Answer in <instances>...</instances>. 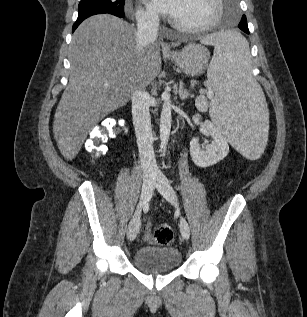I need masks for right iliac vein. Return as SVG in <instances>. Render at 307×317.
Listing matches in <instances>:
<instances>
[{
    "label": "right iliac vein",
    "mask_w": 307,
    "mask_h": 317,
    "mask_svg": "<svg viewBox=\"0 0 307 317\" xmlns=\"http://www.w3.org/2000/svg\"><path fill=\"white\" fill-rule=\"evenodd\" d=\"M155 181L156 178L154 176H146L143 179L140 203L127 228V238L130 241H133L138 234L141 210L152 196Z\"/></svg>",
    "instance_id": "63e3f726"
}]
</instances>
